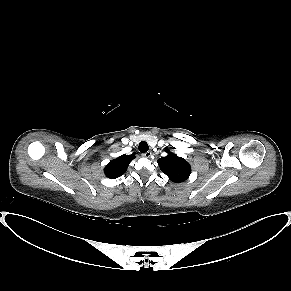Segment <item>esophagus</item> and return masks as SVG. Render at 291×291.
Segmentation results:
<instances>
[{
  "label": "esophagus",
  "mask_w": 291,
  "mask_h": 291,
  "mask_svg": "<svg viewBox=\"0 0 291 291\" xmlns=\"http://www.w3.org/2000/svg\"><path fill=\"white\" fill-rule=\"evenodd\" d=\"M151 155H152V152L151 151H147V152H145V153L142 154V156L145 157V158H150Z\"/></svg>",
  "instance_id": "esophagus-1"
}]
</instances>
